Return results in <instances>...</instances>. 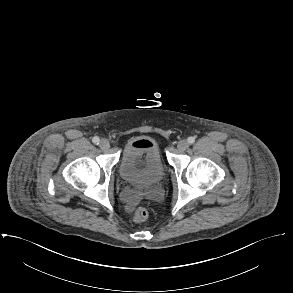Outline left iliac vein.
<instances>
[{
	"instance_id": "1",
	"label": "left iliac vein",
	"mask_w": 293,
	"mask_h": 293,
	"mask_svg": "<svg viewBox=\"0 0 293 293\" xmlns=\"http://www.w3.org/2000/svg\"><path fill=\"white\" fill-rule=\"evenodd\" d=\"M188 146H189V143L186 140H180L177 145L180 151H185L188 148Z\"/></svg>"
}]
</instances>
